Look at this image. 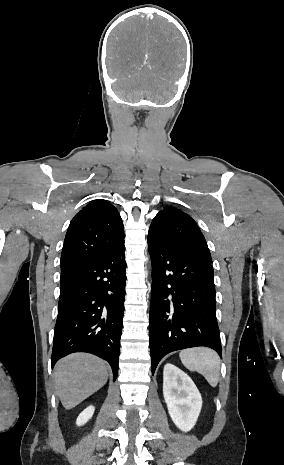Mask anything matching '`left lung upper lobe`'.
Listing matches in <instances>:
<instances>
[{
  "label": "left lung upper lobe",
  "mask_w": 284,
  "mask_h": 465,
  "mask_svg": "<svg viewBox=\"0 0 284 465\" xmlns=\"http://www.w3.org/2000/svg\"><path fill=\"white\" fill-rule=\"evenodd\" d=\"M148 236L173 250L212 262L206 240L196 222L172 207L161 210L153 219Z\"/></svg>",
  "instance_id": "obj_1"
}]
</instances>
